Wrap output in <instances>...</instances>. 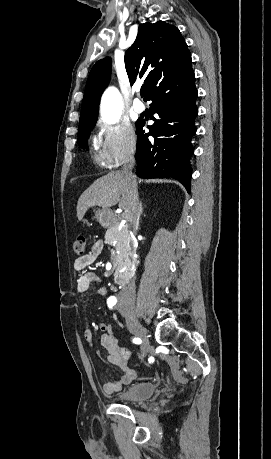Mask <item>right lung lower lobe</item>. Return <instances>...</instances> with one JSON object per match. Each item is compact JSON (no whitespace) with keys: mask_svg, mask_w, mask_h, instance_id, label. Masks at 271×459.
I'll use <instances>...</instances> for the list:
<instances>
[{"mask_svg":"<svg viewBox=\"0 0 271 459\" xmlns=\"http://www.w3.org/2000/svg\"><path fill=\"white\" fill-rule=\"evenodd\" d=\"M197 89L193 70L171 77L152 93L150 109L159 115L149 133L144 134V120L136 122L137 175L141 178L171 177L190 191L192 174L189 159L193 155L192 137L196 133ZM151 135L154 139H148Z\"/></svg>","mask_w":271,"mask_h":459,"instance_id":"98d812e1","label":"right lung lower lobe"}]
</instances>
